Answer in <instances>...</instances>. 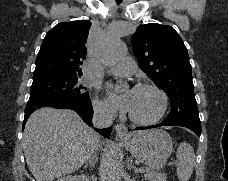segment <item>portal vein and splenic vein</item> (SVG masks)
<instances>
[{"label": "portal vein and splenic vein", "instance_id": "portal-vein-and-splenic-vein-1", "mask_svg": "<svg viewBox=\"0 0 228 181\" xmlns=\"http://www.w3.org/2000/svg\"><path fill=\"white\" fill-rule=\"evenodd\" d=\"M137 169H138V171H137L138 174H143V172L145 171V169H143V168L140 167V166H139Z\"/></svg>", "mask_w": 228, "mask_h": 181}]
</instances>
